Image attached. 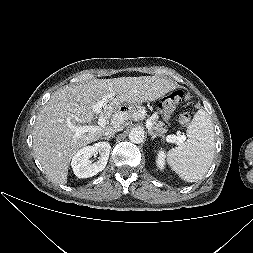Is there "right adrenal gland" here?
I'll use <instances>...</instances> for the list:
<instances>
[{
	"instance_id": "1",
	"label": "right adrenal gland",
	"mask_w": 253,
	"mask_h": 253,
	"mask_svg": "<svg viewBox=\"0 0 253 253\" xmlns=\"http://www.w3.org/2000/svg\"><path fill=\"white\" fill-rule=\"evenodd\" d=\"M114 137V135H112V136H109V137H105L104 139H107V140H109L110 138H113Z\"/></svg>"
}]
</instances>
